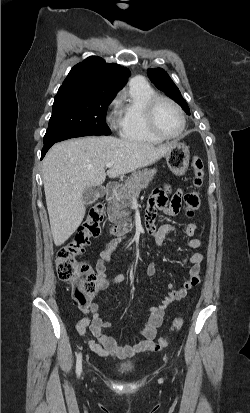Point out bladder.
<instances>
[{
  "label": "bladder",
  "mask_w": 250,
  "mask_h": 413,
  "mask_svg": "<svg viewBox=\"0 0 250 413\" xmlns=\"http://www.w3.org/2000/svg\"><path fill=\"white\" fill-rule=\"evenodd\" d=\"M134 366L129 363L118 364L114 367V370L120 375H126L133 371Z\"/></svg>",
  "instance_id": "1"
}]
</instances>
